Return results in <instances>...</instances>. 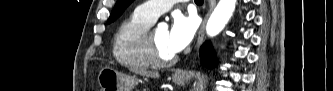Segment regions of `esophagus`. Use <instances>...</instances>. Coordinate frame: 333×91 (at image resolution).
<instances>
[{
	"mask_svg": "<svg viewBox=\"0 0 333 91\" xmlns=\"http://www.w3.org/2000/svg\"><path fill=\"white\" fill-rule=\"evenodd\" d=\"M215 3H216L215 0H211L210 1V8H209L207 14L204 17V20H203V22L201 24V27H200V30L198 32V38H197V43H196V47H195L196 50L199 49V47L201 46V44L203 42L204 33H205V26H206L208 17H209L210 13L212 12V10H213V8L215 6ZM183 75H184V72L181 71V70H178V71L175 72V76H183Z\"/></svg>",
	"mask_w": 333,
	"mask_h": 91,
	"instance_id": "1",
	"label": "esophagus"
}]
</instances>
